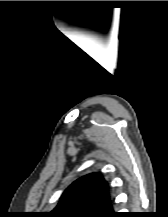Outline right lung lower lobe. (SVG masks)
Segmentation results:
<instances>
[{"instance_id": "98d812e1", "label": "right lung lower lobe", "mask_w": 168, "mask_h": 217, "mask_svg": "<svg viewBox=\"0 0 168 217\" xmlns=\"http://www.w3.org/2000/svg\"><path fill=\"white\" fill-rule=\"evenodd\" d=\"M109 217H123V215H120L119 213H114L113 215H110Z\"/></svg>"}]
</instances>
